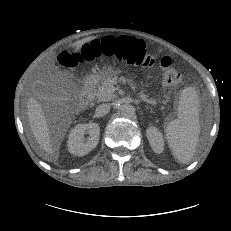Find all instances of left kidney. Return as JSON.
<instances>
[{"label": "left kidney", "mask_w": 231, "mask_h": 231, "mask_svg": "<svg viewBox=\"0 0 231 231\" xmlns=\"http://www.w3.org/2000/svg\"><path fill=\"white\" fill-rule=\"evenodd\" d=\"M146 134L152 150L155 153H162L164 149V140L159 130L154 126H151L146 130Z\"/></svg>", "instance_id": "1"}]
</instances>
